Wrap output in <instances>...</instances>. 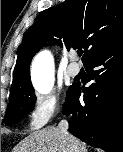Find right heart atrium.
Here are the masks:
<instances>
[{
  "instance_id": "obj_1",
  "label": "right heart atrium",
  "mask_w": 123,
  "mask_h": 152,
  "mask_svg": "<svg viewBox=\"0 0 123 152\" xmlns=\"http://www.w3.org/2000/svg\"><path fill=\"white\" fill-rule=\"evenodd\" d=\"M61 103L58 96L40 95L32 101L26 117L29 127L37 130L45 126L60 111Z\"/></svg>"
}]
</instances>
